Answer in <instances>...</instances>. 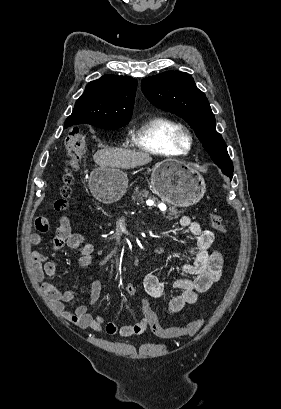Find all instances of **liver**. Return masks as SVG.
I'll return each mask as SVG.
<instances>
[{
	"label": "liver",
	"mask_w": 281,
	"mask_h": 409,
	"mask_svg": "<svg viewBox=\"0 0 281 409\" xmlns=\"http://www.w3.org/2000/svg\"><path fill=\"white\" fill-rule=\"evenodd\" d=\"M93 158L99 166H116V168H136L152 160V156L145 150H128V148L97 150Z\"/></svg>",
	"instance_id": "liver-1"
}]
</instances>
